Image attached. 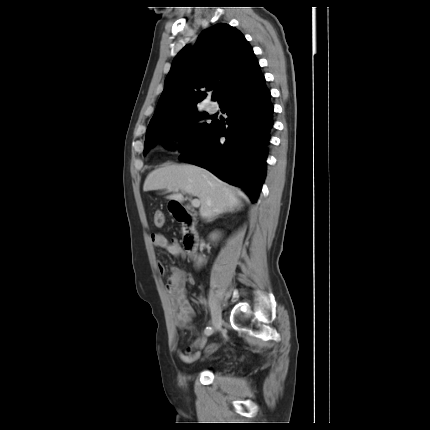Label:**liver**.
Wrapping results in <instances>:
<instances>
[{
	"mask_svg": "<svg viewBox=\"0 0 430 430\" xmlns=\"http://www.w3.org/2000/svg\"><path fill=\"white\" fill-rule=\"evenodd\" d=\"M143 190L173 192L167 198L178 202L184 201L183 193L196 196L200 201V216L205 220L241 206L231 186L210 171L194 165H166L155 169L148 174Z\"/></svg>",
	"mask_w": 430,
	"mask_h": 430,
	"instance_id": "1",
	"label": "liver"
}]
</instances>
